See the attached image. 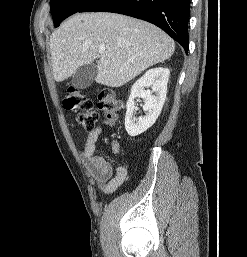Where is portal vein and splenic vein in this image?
Returning a JSON list of instances; mask_svg holds the SVG:
<instances>
[{"mask_svg": "<svg viewBox=\"0 0 247 257\" xmlns=\"http://www.w3.org/2000/svg\"><path fill=\"white\" fill-rule=\"evenodd\" d=\"M103 50H104V49H100V50H99V53L102 54V53H103Z\"/></svg>", "mask_w": 247, "mask_h": 257, "instance_id": "1", "label": "portal vein and splenic vein"}]
</instances>
